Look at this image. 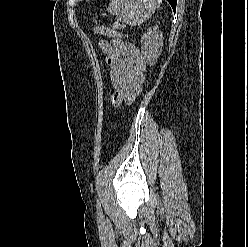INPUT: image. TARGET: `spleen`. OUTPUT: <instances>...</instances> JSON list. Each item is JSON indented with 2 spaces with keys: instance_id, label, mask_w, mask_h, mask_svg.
<instances>
[{
  "instance_id": "1",
  "label": "spleen",
  "mask_w": 248,
  "mask_h": 247,
  "mask_svg": "<svg viewBox=\"0 0 248 247\" xmlns=\"http://www.w3.org/2000/svg\"><path fill=\"white\" fill-rule=\"evenodd\" d=\"M162 0H111L107 11L120 16L128 25H140L148 20Z\"/></svg>"
}]
</instances>
